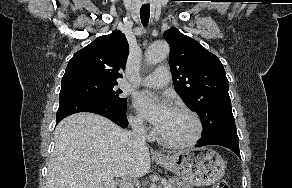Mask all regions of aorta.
I'll return each instance as SVG.
<instances>
[{"mask_svg":"<svg viewBox=\"0 0 292 188\" xmlns=\"http://www.w3.org/2000/svg\"><path fill=\"white\" fill-rule=\"evenodd\" d=\"M170 52V47L165 41L153 42L146 51V61L149 65H155L164 60Z\"/></svg>","mask_w":292,"mask_h":188,"instance_id":"aorta-1","label":"aorta"}]
</instances>
